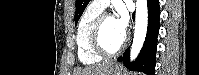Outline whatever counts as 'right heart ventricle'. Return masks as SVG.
<instances>
[{
  "mask_svg": "<svg viewBox=\"0 0 199 75\" xmlns=\"http://www.w3.org/2000/svg\"><path fill=\"white\" fill-rule=\"evenodd\" d=\"M103 10L89 5L80 17L76 31V47L78 58L84 65H93L102 59L92 49L89 41V32L95 19Z\"/></svg>",
  "mask_w": 199,
  "mask_h": 75,
  "instance_id": "right-heart-ventricle-1",
  "label": "right heart ventricle"
}]
</instances>
